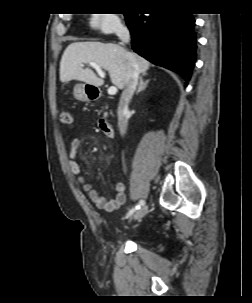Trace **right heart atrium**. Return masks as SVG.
<instances>
[{
    "label": "right heart atrium",
    "mask_w": 252,
    "mask_h": 303,
    "mask_svg": "<svg viewBox=\"0 0 252 303\" xmlns=\"http://www.w3.org/2000/svg\"><path fill=\"white\" fill-rule=\"evenodd\" d=\"M91 26L104 34L121 33L125 26L114 14H101L91 19Z\"/></svg>",
    "instance_id": "right-heart-atrium-1"
}]
</instances>
